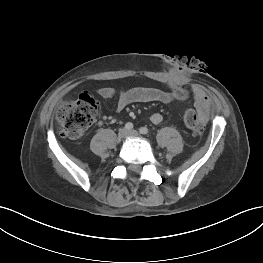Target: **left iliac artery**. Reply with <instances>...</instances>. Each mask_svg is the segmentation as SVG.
<instances>
[{
    "label": "left iliac artery",
    "mask_w": 263,
    "mask_h": 263,
    "mask_svg": "<svg viewBox=\"0 0 263 263\" xmlns=\"http://www.w3.org/2000/svg\"><path fill=\"white\" fill-rule=\"evenodd\" d=\"M140 133L145 135V134H148V133H149V130H148V128H146V127H141V128H140Z\"/></svg>",
    "instance_id": "1"
}]
</instances>
